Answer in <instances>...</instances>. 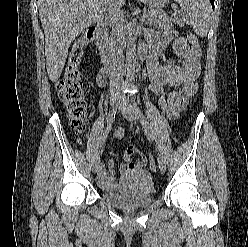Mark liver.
<instances>
[{
  "label": "liver",
  "mask_w": 248,
  "mask_h": 247,
  "mask_svg": "<svg viewBox=\"0 0 248 247\" xmlns=\"http://www.w3.org/2000/svg\"><path fill=\"white\" fill-rule=\"evenodd\" d=\"M107 0H38L45 34L46 69L52 82L61 76L69 47L87 27L103 17ZM125 0H119L123 6Z\"/></svg>",
  "instance_id": "1"
}]
</instances>
